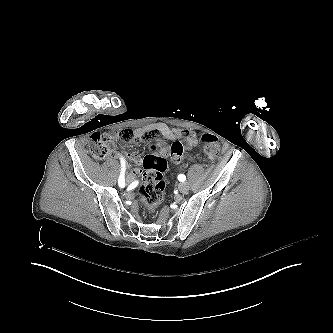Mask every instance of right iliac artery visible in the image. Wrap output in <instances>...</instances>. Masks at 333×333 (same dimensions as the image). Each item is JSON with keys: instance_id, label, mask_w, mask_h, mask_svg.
I'll return each mask as SVG.
<instances>
[{"instance_id": "82829eb1", "label": "right iliac artery", "mask_w": 333, "mask_h": 333, "mask_svg": "<svg viewBox=\"0 0 333 333\" xmlns=\"http://www.w3.org/2000/svg\"><path fill=\"white\" fill-rule=\"evenodd\" d=\"M121 174H120V177H119V180H118V184L121 188H123L125 186V179H124V172H125V162H124V159L121 158Z\"/></svg>"}]
</instances>
